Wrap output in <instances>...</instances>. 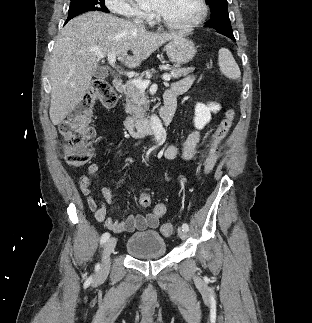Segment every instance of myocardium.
Here are the masks:
<instances>
[{
	"instance_id": "myocardium-1",
	"label": "myocardium",
	"mask_w": 312,
	"mask_h": 323,
	"mask_svg": "<svg viewBox=\"0 0 312 323\" xmlns=\"http://www.w3.org/2000/svg\"><path fill=\"white\" fill-rule=\"evenodd\" d=\"M208 0H196L197 4H200L201 10L197 16L194 18V25H201L202 21H205L206 17H209L211 12V5L207 3ZM156 18L160 25H169L173 27V31H190L192 27V20H169L166 18L164 12H157Z\"/></svg>"
}]
</instances>
